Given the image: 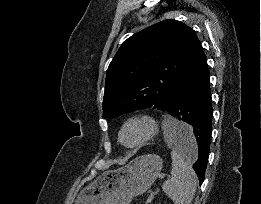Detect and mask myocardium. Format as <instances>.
Segmentation results:
<instances>
[{
  "instance_id": "myocardium-1",
  "label": "myocardium",
  "mask_w": 261,
  "mask_h": 204,
  "mask_svg": "<svg viewBox=\"0 0 261 204\" xmlns=\"http://www.w3.org/2000/svg\"><path fill=\"white\" fill-rule=\"evenodd\" d=\"M131 124L143 125L145 127V133L139 140L128 144L123 141L122 135L124 130ZM158 131H159L158 121L152 115L147 113H138L129 116L122 123L118 132V140L124 147L129 149H135L144 146L147 142L152 140L157 135Z\"/></svg>"
}]
</instances>
